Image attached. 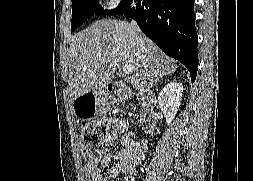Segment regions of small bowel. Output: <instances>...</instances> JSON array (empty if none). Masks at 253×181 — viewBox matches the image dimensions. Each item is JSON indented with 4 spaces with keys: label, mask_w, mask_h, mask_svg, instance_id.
I'll return each instance as SVG.
<instances>
[{
    "label": "small bowel",
    "mask_w": 253,
    "mask_h": 181,
    "mask_svg": "<svg viewBox=\"0 0 253 181\" xmlns=\"http://www.w3.org/2000/svg\"><path fill=\"white\" fill-rule=\"evenodd\" d=\"M121 149L112 155L107 154L101 161V166H106L111 158L116 164L111 165L103 173L96 164H88L84 171L89 181H123L122 176L134 177L137 174V166L144 160L147 143L145 140H136L133 133L126 132L120 139Z\"/></svg>",
    "instance_id": "obj_1"
}]
</instances>
